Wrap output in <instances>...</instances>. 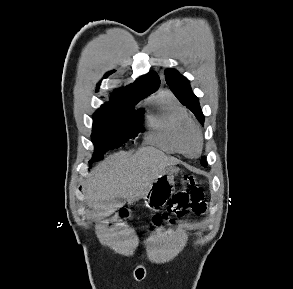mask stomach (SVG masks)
<instances>
[{"label":"stomach","instance_id":"stomach-1","mask_svg":"<svg viewBox=\"0 0 293 289\" xmlns=\"http://www.w3.org/2000/svg\"><path fill=\"white\" fill-rule=\"evenodd\" d=\"M179 168H167L165 173L156 179L147 194L144 196L145 205L151 210H158L166 205L174 193V175Z\"/></svg>","mask_w":293,"mask_h":289}]
</instances>
